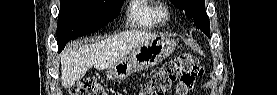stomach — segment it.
Returning <instances> with one entry per match:
<instances>
[{"instance_id":"obj_1","label":"stomach","mask_w":277,"mask_h":95,"mask_svg":"<svg viewBox=\"0 0 277 95\" xmlns=\"http://www.w3.org/2000/svg\"><path fill=\"white\" fill-rule=\"evenodd\" d=\"M176 42L165 36H155L135 47L129 56L118 61L108 70V78L124 80L132 72L151 68L175 50Z\"/></svg>"}]
</instances>
